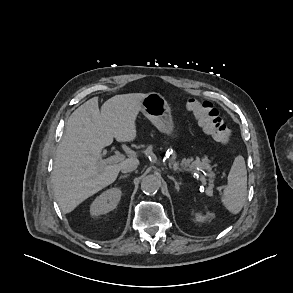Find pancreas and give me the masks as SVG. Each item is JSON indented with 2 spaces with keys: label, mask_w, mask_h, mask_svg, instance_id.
Segmentation results:
<instances>
[{
  "label": "pancreas",
  "mask_w": 293,
  "mask_h": 293,
  "mask_svg": "<svg viewBox=\"0 0 293 293\" xmlns=\"http://www.w3.org/2000/svg\"><path fill=\"white\" fill-rule=\"evenodd\" d=\"M170 162L173 164V166L176 168L179 163L176 161V154H173ZM211 162V160L208 157H204L202 159H200L199 157H196V159L194 160L193 158H184L182 159V161L180 162V165L184 168H189L192 170L195 169H202L205 170L207 172H209L208 176L212 179L214 177V174L212 173V166L209 164ZM212 182V181H211ZM212 188L213 185L210 184L207 193L208 194H212Z\"/></svg>",
  "instance_id": "obj_1"
}]
</instances>
